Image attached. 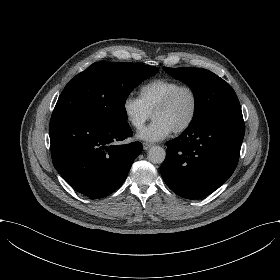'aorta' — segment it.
<instances>
[{"label":"aorta","mask_w":280,"mask_h":280,"mask_svg":"<svg viewBox=\"0 0 280 280\" xmlns=\"http://www.w3.org/2000/svg\"><path fill=\"white\" fill-rule=\"evenodd\" d=\"M165 155H166L165 150L157 145L152 146L148 150V159L150 162L154 164L162 163L165 159Z\"/></svg>","instance_id":"1"}]
</instances>
